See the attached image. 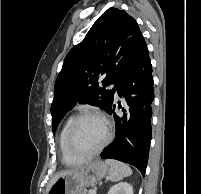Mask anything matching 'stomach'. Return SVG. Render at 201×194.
Returning <instances> with one entry per match:
<instances>
[{
  "instance_id": "1",
  "label": "stomach",
  "mask_w": 201,
  "mask_h": 194,
  "mask_svg": "<svg viewBox=\"0 0 201 194\" xmlns=\"http://www.w3.org/2000/svg\"><path fill=\"white\" fill-rule=\"evenodd\" d=\"M108 166L100 161L84 165L75 171L59 177L47 194H80V192L102 180L108 173Z\"/></svg>"
}]
</instances>
